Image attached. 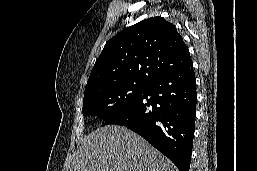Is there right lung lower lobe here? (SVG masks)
I'll return each mask as SVG.
<instances>
[{"instance_id": "98d812e1", "label": "right lung lower lobe", "mask_w": 257, "mask_h": 171, "mask_svg": "<svg viewBox=\"0 0 257 171\" xmlns=\"http://www.w3.org/2000/svg\"><path fill=\"white\" fill-rule=\"evenodd\" d=\"M195 84L190 61L150 82L137 100L106 124L129 128L167 156L179 171H189L197 103Z\"/></svg>"}]
</instances>
